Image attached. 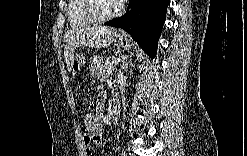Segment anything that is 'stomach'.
I'll list each match as a JSON object with an SVG mask.
<instances>
[{"instance_id":"1","label":"stomach","mask_w":247,"mask_h":156,"mask_svg":"<svg viewBox=\"0 0 247 156\" xmlns=\"http://www.w3.org/2000/svg\"><path fill=\"white\" fill-rule=\"evenodd\" d=\"M116 39L122 46L129 47V40H128V37L126 35H124V34L120 35L119 34V35H117ZM74 61H77L78 63H84L83 58L79 55L76 56V59ZM100 62H101V60L98 56L92 57L90 60V69H95Z\"/></svg>"}]
</instances>
